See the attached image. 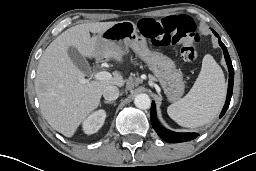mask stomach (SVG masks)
I'll list each match as a JSON object with an SVG mask.
<instances>
[{
  "label": "stomach",
  "mask_w": 256,
  "mask_h": 171,
  "mask_svg": "<svg viewBox=\"0 0 256 171\" xmlns=\"http://www.w3.org/2000/svg\"><path fill=\"white\" fill-rule=\"evenodd\" d=\"M99 43L110 44L123 53L132 50L143 60L159 81L165 95L171 102L177 101L184 93L185 83L181 71L168 56L148 48L146 38L138 34L135 23L121 21L113 24L100 34Z\"/></svg>",
  "instance_id": "1"
}]
</instances>
